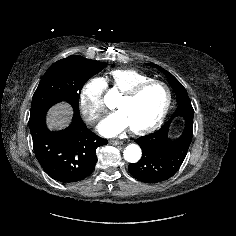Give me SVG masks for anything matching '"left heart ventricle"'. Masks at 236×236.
<instances>
[{"label":"left heart ventricle","instance_id":"obj_1","mask_svg":"<svg viewBox=\"0 0 236 236\" xmlns=\"http://www.w3.org/2000/svg\"><path fill=\"white\" fill-rule=\"evenodd\" d=\"M167 100L163 86L154 84L146 88L132 101L118 100L116 107L121 111L130 128H142L153 123L160 115Z\"/></svg>","mask_w":236,"mask_h":236}]
</instances>
